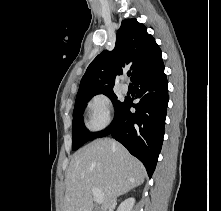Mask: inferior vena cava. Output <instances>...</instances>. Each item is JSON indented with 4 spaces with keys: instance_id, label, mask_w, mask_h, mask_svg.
Masks as SVG:
<instances>
[{
    "instance_id": "inferior-vena-cava-1",
    "label": "inferior vena cava",
    "mask_w": 221,
    "mask_h": 211,
    "mask_svg": "<svg viewBox=\"0 0 221 211\" xmlns=\"http://www.w3.org/2000/svg\"><path fill=\"white\" fill-rule=\"evenodd\" d=\"M115 201H116V198L113 199V202H114V203H115Z\"/></svg>"
}]
</instances>
